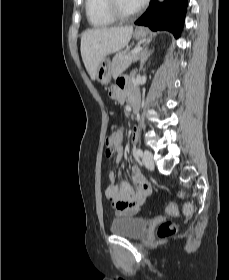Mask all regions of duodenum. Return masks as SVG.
I'll list each match as a JSON object with an SVG mask.
<instances>
[{"instance_id": "obj_1", "label": "duodenum", "mask_w": 229, "mask_h": 280, "mask_svg": "<svg viewBox=\"0 0 229 280\" xmlns=\"http://www.w3.org/2000/svg\"><path fill=\"white\" fill-rule=\"evenodd\" d=\"M131 103H132L134 113L138 114L139 109H140V98L137 93H133L131 95Z\"/></svg>"}]
</instances>
